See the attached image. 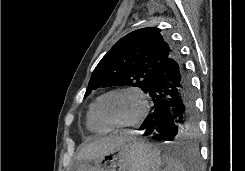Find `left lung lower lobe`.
Returning <instances> with one entry per match:
<instances>
[{
	"mask_svg": "<svg viewBox=\"0 0 245 171\" xmlns=\"http://www.w3.org/2000/svg\"><path fill=\"white\" fill-rule=\"evenodd\" d=\"M147 93L154 106L139 128L144 131L143 136L159 133L160 140L175 141L193 128L195 101L191 78L177 52L165 61ZM194 156V149L182 150V166L194 167V162H198Z\"/></svg>",
	"mask_w": 245,
	"mask_h": 171,
	"instance_id": "0a47b994",
	"label": "left lung lower lobe"
}]
</instances>
